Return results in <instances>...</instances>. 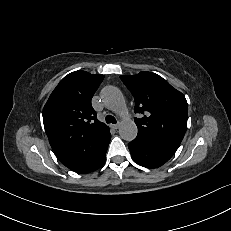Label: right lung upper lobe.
<instances>
[{
  "label": "right lung upper lobe",
  "instance_id": "obj_1",
  "mask_svg": "<svg viewBox=\"0 0 231 231\" xmlns=\"http://www.w3.org/2000/svg\"><path fill=\"white\" fill-rule=\"evenodd\" d=\"M103 79L99 74L72 72L60 81L45 104L43 123L50 145L69 169L85 161L109 132L91 105Z\"/></svg>",
  "mask_w": 231,
  "mask_h": 231
}]
</instances>
